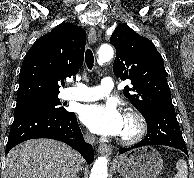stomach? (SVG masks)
Returning <instances> with one entry per match:
<instances>
[{"instance_id": "obj_1", "label": "stomach", "mask_w": 194, "mask_h": 178, "mask_svg": "<svg viewBox=\"0 0 194 178\" xmlns=\"http://www.w3.org/2000/svg\"><path fill=\"white\" fill-rule=\"evenodd\" d=\"M115 166L123 178H156L163 159L156 149L146 146L117 157Z\"/></svg>"}]
</instances>
